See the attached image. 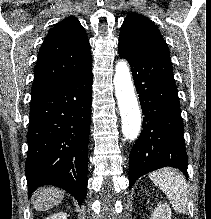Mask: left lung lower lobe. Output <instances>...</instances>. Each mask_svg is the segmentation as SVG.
Segmentation results:
<instances>
[{"instance_id": "obj_1", "label": "left lung lower lobe", "mask_w": 211, "mask_h": 219, "mask_svg": "<svg viewBox=\"0 0 211 219\" xmlns=\"http://www.w3.org/2000/svg\"><path fill=\"white\" fill-rule=\"evenodd\" d=\"M118 53L130 64L144 115L143 130L129 156V189L142 175L165 166L187 176L184 126L170 56L139 53L121 45Z\"/></svg>"}]
</instances>
